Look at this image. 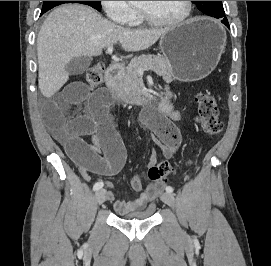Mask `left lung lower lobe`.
<instances>
[{
	"mask_svg": "<svg viewBox=\"0 0 271 266\" xmlns=\"http://www.w3.org/2000/svg\"><path fill=\"white\" fill-rule=\"evenodd\" d=\"M221 22L225 24L227 27H229V23L226 17L222 18Z\"/></svg>",
	"mask_w": 271,
	"mask_h": 266,
	"instance_id": "0a47b994",
	"label": "left lung lower lobe"
}]
</instances>
